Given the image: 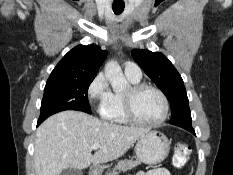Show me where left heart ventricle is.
Masks as SVG:
<instances>
[{"label":"left heart ventricle","instance_id":"obj_1","mask_svg":"<svg viewBox=\"0 0 233 175\" xmlns=\"http://www.w3.org/2000/svg\"><path fill=\"white\" fill-rule=\"evenodd\" d=\"M134 111L140 120L153 122L162 116L163 103L155 91L143 90L134 98Z\"/></svg>","mask_w":233,"mask_h":175}]
</instances>
